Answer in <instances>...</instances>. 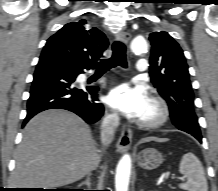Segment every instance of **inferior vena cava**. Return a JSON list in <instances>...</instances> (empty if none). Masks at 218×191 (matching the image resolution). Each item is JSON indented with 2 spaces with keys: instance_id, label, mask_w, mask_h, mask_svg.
<instances>
[{
  "instance_id": "obj_1",
  "label": "inferior vena cava",
  "mask_w": 218,
  "mask_h": 191,
  "mask_svg": "<svg viewBox=\"0 0 218 191\" xmlns=\"http://www.w3.org/2000/svg\"><path fill=\"white\" fill-rule=\"evenodd\" d=\"M119 121L120 118L117 113L108 114L103 118L101 124V142L104 148L114 139Z\"/></svg>"
}]
</instances>
